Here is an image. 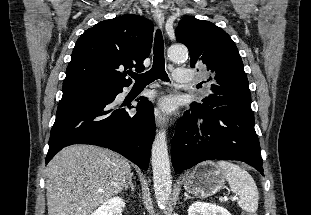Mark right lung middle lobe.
<instances>
[{
	"instance_id": "right-lung-middle-lobe-1",
	"label": "right lung middle lobe",
	"mask_w": 311,
	"mask_h": 215,
	"mask_svg": "<svg viewBox=\"0 0 311 215\" xmlns=\"http://www.w3.org/2000/svg\"><path fill=\"white\" fill-rule=\"evenodd\" d=\"M105 90H108V88L102 87L99 84H88V83L71 84V85L63 86L62 97L72 95V94L100 96L101 93Z\"/></svg>"
}]
</instances>
